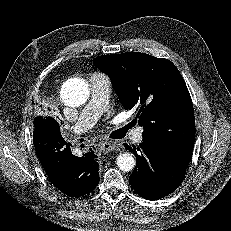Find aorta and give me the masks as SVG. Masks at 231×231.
<instances>
[{
	"instance_id": "1",
	"label": "aorta",
	"mask_w": 231,
	"mask_h": 231,
	"mask_svg": "<svg viewBox=\"0 0 231 231\" xmlns=\"http://www.w3.org/2000/svg\"><path fill=\"white\" fill-rule=\"evenodd\" d=\"M89 94V87L84 80L72 78L63 83L60 98L65 105L78 107L88 100ZM116 160L118 168L124 172L131 171L136 165L133 155L128 152L120 154Z\"/></svg>"
}]
</instances>
